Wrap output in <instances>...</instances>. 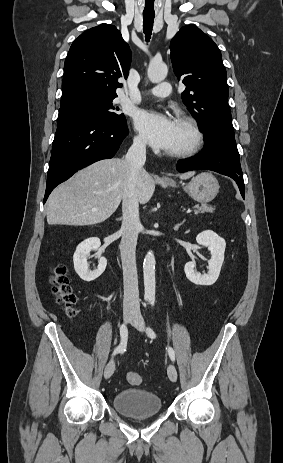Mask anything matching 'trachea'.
<instances>
[{"mask_svg": "<svg viewBox=\"0 0 283 463\" xmlns=\"http://www.w3.org/2000/svg\"><path fill=\"white\" fill-rule=\"evenodd\" d=\"M153 22H154V15H144L143 14V31L145 34L146 42H149L151 38Z\"/></svg>", "mask_w": 283, "mask_h": 463, "instance_id": "3493384b", "label": "trachea"}]
</instances>
